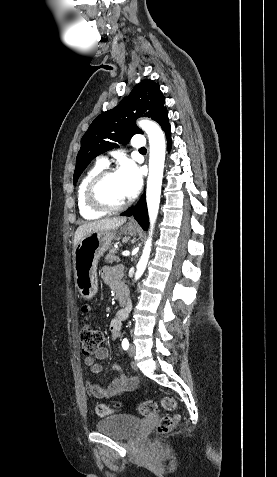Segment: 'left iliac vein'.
I'll return each instance as SVG.
<instances>
[{"instance_id": "left-iliac-vein-1", "label": "left iliac vein", "mask_w": 277, "mask_h": 477, "mask_svg": "<svg viewBox=\"0 0 277 477\" xmlns=\"http://www.w3.org/2000/svg\"><path fill=\"white\" fill-rule=\"evenodd\" d=\"M135 354H136V348H135V346H134L133 344H131V345L129 346V348H128V355H129L130 357H134ZM132 367H133L134 369H137L134 364L132 365Z\"/></svg>"}]
</instances>
